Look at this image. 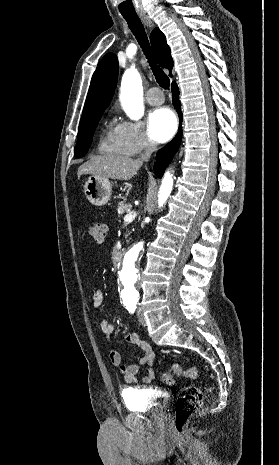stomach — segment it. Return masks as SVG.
I'll return each instance as SVG.
<instances>
[{"label":"stomach","instance_id":"1","mask_svg":"<svg viewBox=\"0 0 279 465\" xmlns=\"http://www.w3.org/2000/svg\"><path fill=\"white\" fill-rule=\"evenodd\" d=\"M84 193L94 206H103L110 200L112 194L111 183L106 178L91 175L84 183Z\"/></svg>","mask_w":279,"mask_h":465}]
</instances>
